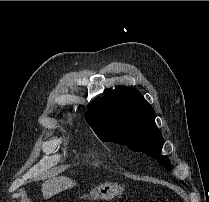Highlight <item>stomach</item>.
<instances>
[{"label": "stomach", "instance_id": "0dacf381", "mask_svg": "<svg viewBox=\"0 0 209 202\" xmlns=\"http://www.w3.org/2000/svg\"><path fill=\"white\" fill-rule=\"evenodd\" d=\"M123 191L124 187L117 183H102L90 191L89 197L92 200L109 201L121 195Z\"/></svg>", "mask_w": 209, "mask_h": 202}]
</instances>
